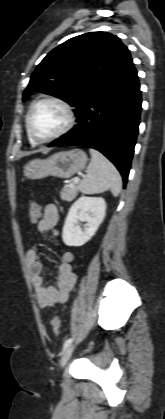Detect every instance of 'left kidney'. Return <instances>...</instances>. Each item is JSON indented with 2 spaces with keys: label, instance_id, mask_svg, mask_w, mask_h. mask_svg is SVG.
I'll return each mask as SVG.
<instances>
[{
  "label": "left kidney",
  "instance_id": "left-kidney-1",
  "mask_svg": "<svg viewBox=\"0 0 165 419\" xmlns=\"http://www.w3.org/2000/svg\"><path fill=\"white\" fill-rule=\"evenodd\" d=\"M106 202L101 197L81 196L71 206L62 232L67 246H82L96 233L105 217ZM79 222H86L84 229Z\"/></svg>",
  "mask_w": 165,
  "mask_h": 419
}]
</instances>
